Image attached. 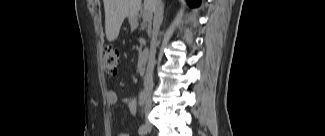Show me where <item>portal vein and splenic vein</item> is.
<instances>
[{"label":"portal vein and splenic vein","instance_id":"portal-vein-and-splenic-vein-1","mask_svg":"<svg viewBox=\"0 0 325 136\" xmlns=\"http://www.w3.org/2000/svg\"><path fill=\"white\" fill-rule=\"evenodd\" d=\"M152 20V13L149 11H145L143 13V21L144 22H150Z\"/></svg>","mask_w":325,"mask_h":136}]
</instances>
